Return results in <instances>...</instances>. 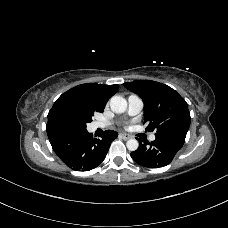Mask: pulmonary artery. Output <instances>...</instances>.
Returning a JSON list of instances; mask_svg holds the SVG:
<instances>
[{"label":"pulmonary artery","mask_w":228,"mask_h":228,"mask_svg":"<svg viewBox=\"0 0 228 228\" xmlns=\"http://www.w3.org/2000/svg\"><path fill=\"white\" fill-rule=\"evenodd\" d=\"M142 108H143L142 99L136 94H131L128 97V114L131 116L137 115L138 113L141 112ZM104 126L105 125L101 122H96L94 124L95 128H102ZM155 138H156L155 134H151L149 137L150 141H154Z\"/></svg>","instance_id":"obj_1"}]
</instances>
